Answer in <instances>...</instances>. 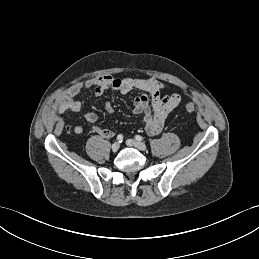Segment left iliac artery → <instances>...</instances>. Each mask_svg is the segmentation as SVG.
<instances>
[{"mask_svg": "<svg viewBox=\"0 0 259 259\" xmlns=\"http://www.w3.org/2000/svg\"><path fill=\"white\" fill-rule=\"evenodd\" d=\"M135 139H136L137 141H142V140H143V137L140 136V135H136V136H135Z\"/></svg>", "mask_w": 259, "mask_h": 259, "instance_id": "left-iliac-artery-1", "label": "left iliac artery"}]
</instances>
